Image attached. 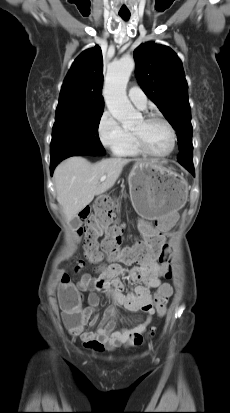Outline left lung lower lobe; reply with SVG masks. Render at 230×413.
Masks as SVG:
<instances>
[{
  "instance_id": "left-lung-lower-lobe-1",
  "label": "left lung lower lobe",
  "mask_w": 230,
  "mask_h": 413,
  "mask_svg": "<svg viewBox=\"0 0 230 413\" xmlns=\"http://www.w3.org/2000/svg\"><path fill=\"white\" fill-rule=\"evenodd\" d=\"M183 167L186 168L193 176H195L194 166H193V165L184 164Z\"/></svg>"
}]
</instances>
